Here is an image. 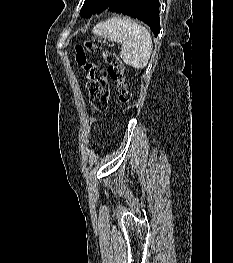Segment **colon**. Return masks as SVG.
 <instances>
[{
  "mask_svg": "<svg viewBox=\"0 0 233 263\" xmlns=\"http://www.w3.org/2000/svg\"><path fill=\"white\" fill-rule=\"evenodd\" d=\"M85 49L93 53H101L108 64V68L104 69L91 63ZM76 62L87 74L88 100L93 113H102L108 108L109 86L107 78L115 82L119 102L122 104L130 102L131 93L126 84L124 67L116 54L86 42L84 46L78 45L76 47Z\"/></svg>",
  "mask_w": 233,
  "mask_h": 263,
  "instance_id": "obj_1",
  "label": "colon"
}]
</instances>
